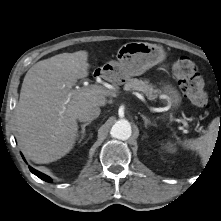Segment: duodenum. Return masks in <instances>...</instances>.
Segmentation results:
<instances>
[{
	"label": "duodenum",
	"instance_id": "410a0bca",
	"mask_svg": "<svg viewBox=\"0 0 221 221\" xmlns=\"http://www.w3.org/2000/svg\"><path fill=\"white\" fill-rule=\"evenodd\" d=\"M103 75H104V72H103L102 69H98V70H96L95 73H94V76H95V77H98V78H102Z\"/></svg>",
	"mask_w": 221,
	"mask_h": 221
}]
</instances>
